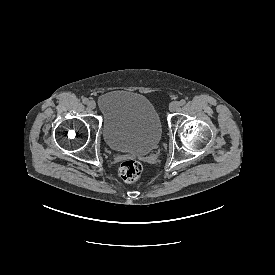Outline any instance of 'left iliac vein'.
I'll return each instance as SVG.
<instances>
[{
    "label": "left iliac vein",
    "mask_w": 275,
    "mask_h": 275,
    "mask_svg": "<svg viewBox=\"0 0 275 275\" xmlns=\"http://www.w3.org/2000/svg\"><path fill=\"white\" fill-rule=\"evenodd\" d=\"M178 108H179V103L176 102V101L171 102L170 105H169V110H170L171 112L177 111Z\"/></svg>",
    "instance_id": "4c4485c4"
}]
</instances>
